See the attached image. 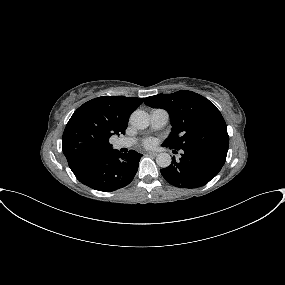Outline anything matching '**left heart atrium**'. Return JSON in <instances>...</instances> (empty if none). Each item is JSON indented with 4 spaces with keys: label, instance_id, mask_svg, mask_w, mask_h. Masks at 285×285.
<instances>
[{
    "label": "left heart atrium",
    "instance_id": "left-heart-atrium-1",
    "mask_svg": "<svg viewBox=\"0 0 285 285\" xmlns=\"http://www.w3.org/2000/svg\"><path fill=\"white\" fill-rule=\"evenodd\" d=\"M143 144L145 147L150 148L155 144V140L154 139H146Z\"/></svg>",
    "mask_w": 285,
    "mask_h": 285
}]
</instances>
